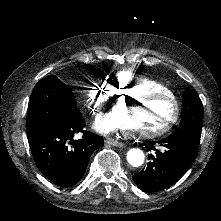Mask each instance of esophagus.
<instances>
[{"mask_svg": "<svg viewBox=\"0 0 221 221\" xmlns=\"http://www.w3.org/2000/svg\"><path fill=\"white\" fill-rule=\"evenodd\" d=\"M106 143L115 147H123L124 143L115 139H107Z\"/></svg>", "mask_w": 221, "mask_h": 221, "instance_id": "obj_1", "label": "esophagus"}]
</instances>
